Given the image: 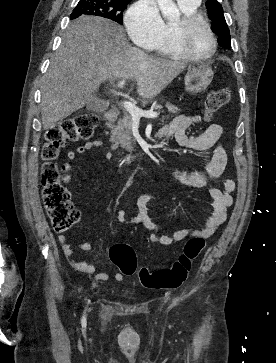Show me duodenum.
Here are the masks:
<instances>
[{"label": "duodenum", "instance_id": "410a0bca", "mask_svg": "<svg viewBox=\"0 0 276 363\" xmlns=\"http://www.w3.org/2000/svg\"><path fill=\"white\" fill-rule=\"evenodd\" d=\"M119 115V111L116 108H109L105 113V118L107 120H113L117 118ZM143 156V152L135 151L131 153H127L122 155L120 158L126 164H131L132 162L140 159Z\"/></svg>", "mask_w": 276, "mask_h": 363}]
</instances>
